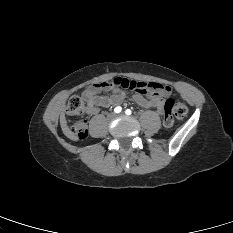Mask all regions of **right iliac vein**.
Segmentation results:
<instances>
[{
	"label": "right iliac vein",
	"mask_w": 233,
	"mask_h": 233,
	"mask_svg": "<svg viewBox=\"0 0 233 233\" xmlns=\"http://www.w3.org/2000/svg\"><path fill=\"white\" fill-rule=\"evenodd\" d=\"M114 116H115V115H114L113 113H111V114L108 115V119H109V120H112V119L114 118Z\"/></svg>",
	"instance_id": "obj_1"
}]
</instances>
